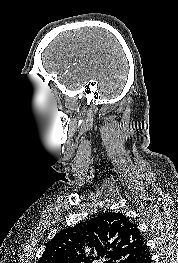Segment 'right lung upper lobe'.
<instances>
[{"mask_svg": "<svg viewBox=\"0 0 178 263\" xmlns=\"http://www.w3.org/2000/svg\"><path fill=\"white\" fill-rule=\"evenodd\" d=\"M85 242L97 256L86 257ZM144 237L136 224L121 213H104L58 233L48 244L38 263H140L148 254Z\"/></svg>", "mask_w": 178, "mask_h": 263, "instance_id": "right-lung-upper-lobe-1", "label": "right lung upper lobe"}]
</instances>
